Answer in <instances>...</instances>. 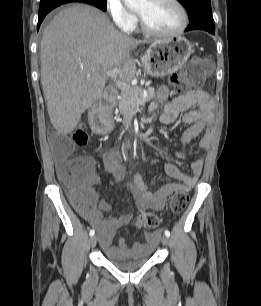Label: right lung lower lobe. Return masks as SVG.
<instances>
[{
	"mask_svg": "<svg viewBox=\"0 0 261 306\" xmlns=\"http://www.w3.org/2000/svg\"><path fill=\"white\" fill-rule=\"evenodd\" d=\"M69 2H72V1H70V0H52V1L44 2V3H40L39 13H38L39 19H38L37 29L39 30V27H40L43 19L45 18V16L51 10L60 6L61 4H65V3H69Z\"/></svg>",
	"mask_w": 261,
	"mask_h": 306,
	"instance_id": "obj_1",
	"label": "right lung lower lobe"
}]
</instances>
